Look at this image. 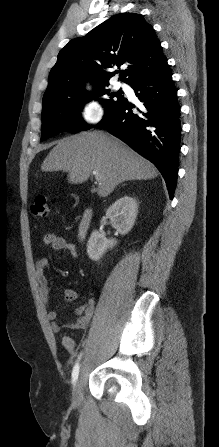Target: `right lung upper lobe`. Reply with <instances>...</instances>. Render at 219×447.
Wrapping results in <instances>:
<instances>
[{
  "label": "right lung upper lobe",
  "mask_w": 219,
  "mask_h": 447,
  "mask_svg": "<svg viewBox=\"0 0 219 447\" xmlns=\"http://www.w3.org/2000/svg\"><path fill=\"white\" fill-rule=\"evenodd\" d=\"M129 64L119 79L130 86L159 73L167 64L153 27L143 16L121 13L72 39L58 54L43 98L52 95H85V81L94 88L109 84L117 73L108 71Z\"/></svg>",
  "instance_id": "obj_1"
}]
</instances>
